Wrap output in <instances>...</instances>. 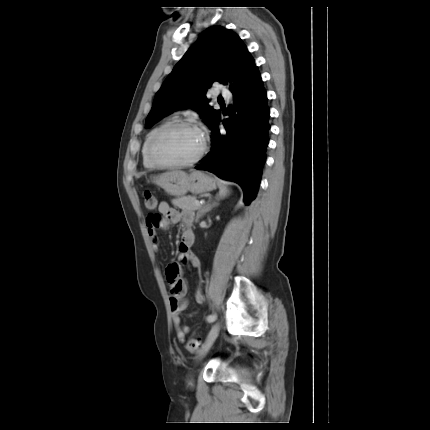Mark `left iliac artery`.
I'll use <instances>...</instances> for the list:
<instances>
[{"label": "left iliac artery", "mask_w": 430, "mask_h": 430, "mask_svg": "<svg viewBox=\"0 0 430 430\" xmlns=\"http://www.w3.org/2000/svg\"><path fill=\"white\" fill-rule=\"evenodd\" d=\"M216 318H217V316L215 314H211V315L207 316L206 320L208 322H214L216 320Z\"/></svg>", "instance_id": "obj_1"}]
</instances>
